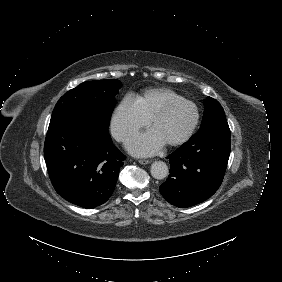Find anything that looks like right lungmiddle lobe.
I'll use <instances>...</instances> for the list:
<instances>
[{
	"label": "right lung middle lobe",
	"mask_w": 282,
	"mask_h": 282,
	"mask_svg": "<svg viewBox=\"0 0 282 282\" xmlns=\"http://www.w3.org/2000/svg\"><path fill=\"white\" fill-rule=\"evenodd\" d=\"M121 86L122 83L117 79L81 83L60 98L53 110L51 121L69 112L82 111L109 127L116 104L115 95Z\"/></svg>",
	"instance_id": "dd1d6c3e"
}]
</instances>
